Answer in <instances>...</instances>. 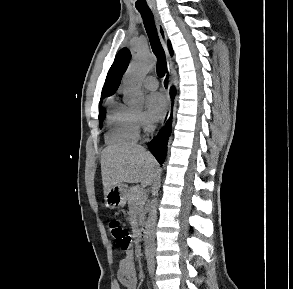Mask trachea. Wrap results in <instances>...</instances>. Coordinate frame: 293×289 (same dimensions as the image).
Instances as JSON below:
<instances>
[{
  "label": "trachea",
  "mask_w": 293,
  "mask_h": 289,
  "mask_svg": "<svg viewBox=\"0 0 293 289\" xmlns=\"http://www.w3.org/2000/svg\"><path fill=\"white\" fill-rule=\"evenodd\" d=\"M143 19L144 27L146 29L153 53L157 57V72L159 77H164L167 71V63L165 53L160 43L157 29L154 23V17L149 8L138 9Z\"/></svg>",
  "instance_id": "1"
}]
</instances>
